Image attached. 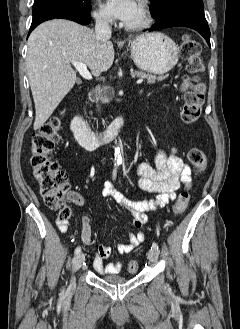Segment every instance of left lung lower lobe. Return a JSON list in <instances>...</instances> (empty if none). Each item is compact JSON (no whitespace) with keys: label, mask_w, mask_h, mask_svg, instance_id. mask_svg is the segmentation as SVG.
I'll use <instances>...</instances> for the list:
<instances>
[{"label":"left lung lower lobe","mask_w":240,"mask_h":329,"mask_svg":"<svg viewBox=\"0 0 240 329\" xmlns=\"http://www.w3.org/2000/svg\"><path fill=\"white\" fill-rule=\"evenodd\" d=\"M168 27H189L198 31L210 46V29L204 15V9L195 7H177L166 12L150 30Z\"/></svg>","instance_id":"left-lung-lower-lobe-1"}]
</instances>
